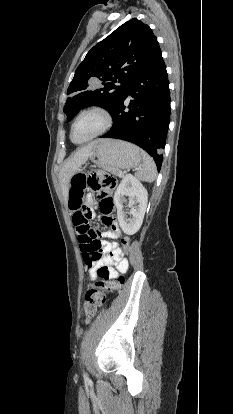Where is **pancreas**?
<instances>
[{
    "label": "pancreas",
    "mask_w": 233,
    "mask_h": 414,
    "mask_svg": "<svg viewBox=\"0 0 233 414\" xmlns=\"http://www.w3.org/2000/svg\"><path fill=\"white\" fill-rule=\"evenodd\" d=\"M112 173L115 174L116 176L123 177V173L121 171H114Z\"/></svg>",
    "instance_id": "obj_1"
}]
</instances>
